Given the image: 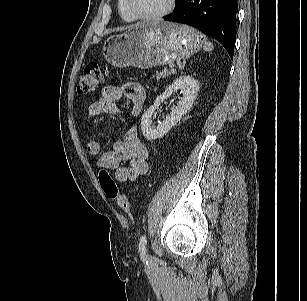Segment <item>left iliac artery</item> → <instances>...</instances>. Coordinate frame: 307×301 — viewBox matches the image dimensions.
I'll list each match as a JSON object with an SVG mask.
<instances>
[{"instance_id":"obj_1","label":"left iliac artery","mask_w":307,"mask_h":301,"mask_svg":"<svg viewBox=\"0 0 307 301\" xmlns=\"http://www.w3.org/2000/svg\"><path fill=\"white\" fill-rule=\"evenodd\" d=\"M139 251L142 260L145 261L147 259V238L145 234L140 238ZM146 263H148V261H146Z\"/></svg>"}]
</instances>
